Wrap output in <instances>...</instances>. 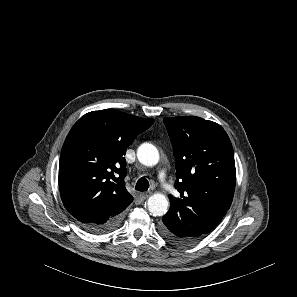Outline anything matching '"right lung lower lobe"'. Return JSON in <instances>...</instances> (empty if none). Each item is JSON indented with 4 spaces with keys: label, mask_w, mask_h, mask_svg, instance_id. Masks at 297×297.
I'll return each instance as SVG.
<instances>
[{
    "label": "right lung lower lobe",
    "mask_w": 297,
    "mask_h": 297,
    "mask_svg": "<svg viewBox=\"0 0 297 297\" xmlns=\"http://www.w3.org/2000/svg\"><path fill=\"white\" fill-rule=\"evenodd\" d=\"M122 214H117L104 223L101 224H92L89 226L84 227L88 232L95 233V234H104L115 230L120 222H121Z\"/></svg>",
    "instance_id": "right-lung-lower-lobe-1"
}]
</instances>
